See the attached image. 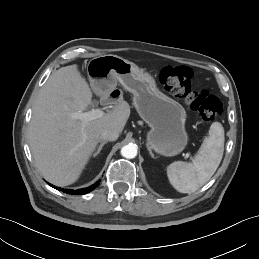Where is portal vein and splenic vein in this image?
Returning <instances> with one entry per match:
<instances>
[{"instance_id": "18ae733b", "label": "portal vein and splenic vein", "mask_w": 259, "mask_h": 259, "mask_svg": "<svg viewBox=\"0 0 259 259\" xmlns=\"http://www.w3.org/2000/svg\"><path fill=\"white\" fill-rule=\"evenodd\" d=\"M104 114V111H102L101 109H92L88 112H75L72 114V117L81 120L83 123V127H85L86 123L101 118L104 116ZM187 156H189V154H187Z\"/></svg>"}]
</instances>
